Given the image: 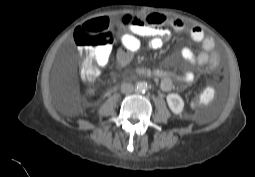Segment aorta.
<instances>
[{"mask_svg": "<svg viewBox=\"0 0 255 177\" xmlns=\"http://www.w3.org/2000/svg\"><path fill=\"white\" fill-rule=\"evenodd\" d=\"M137 88L140 90V91H145L147 90V84L145 83H139Z\"/></svg>", "mask_w": 255, "mask_h": 177, "instance_id": "aorta-1", "label": "aorta"}]
</instances>
